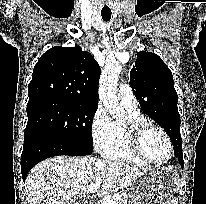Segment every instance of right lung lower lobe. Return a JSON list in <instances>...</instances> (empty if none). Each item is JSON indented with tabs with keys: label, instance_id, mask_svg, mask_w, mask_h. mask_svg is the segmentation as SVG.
<instances>
[{
	"label": "right lung lower lobe",
	"instance_id": "98d812e1",
	"mask_svg": "<svg viewBox=\"0 0 206 204\" xmlns=\"http://www.w3.org/2000/svg\"><path fill=\"white\" fill-rule=\"evenodd\" d=\"M58 155L84 156L71 146L58 141L37 139L23 146L21 172L23 181L30 169L40 161Z\"/></svg>",
	"mask_w": 206,
	"mask_h": 204
}]
</instances>
